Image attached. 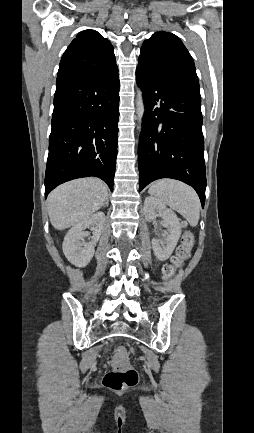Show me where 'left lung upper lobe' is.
<instances>
[{
	"label": "left lung upper lobe",
	"mask_w": 254,
	"mask_h": 433,
	"mask_svg": "<svg viewBox=\"0 0 254 433\" xmlns=\"http://www.w3.org/2000/svg\"><path fill=\"white\" fill-rule=\"evenodd\" d=\"M138 62L153 72L199 88L194 61L182 41L169 32H156L143 42Z\"/></svg>",
	"instance_id": "5c2ea615"
}]
</instances>
